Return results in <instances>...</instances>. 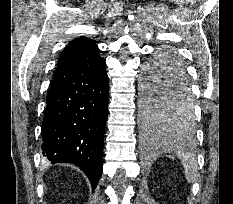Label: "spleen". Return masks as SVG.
Wrapping results in <instances>:
<instances>
[{"instance_id":"obj_1","label":"spleen","mask_w":233,"mask_h":204,"mask_svg":"<svg viewBox=\"0 0 233 204\" xmlns=\"http://www.w3.org/2000/svg\"><path fill=\"white\" fill-rule=\"evenodd\" d=\"M169 148V146H168ZM173 151L181 160L184 167L186 180L188 183H194L197 178L198 164L195 155L183 146L174 147Z\"/></svg>"}]
</instances>
